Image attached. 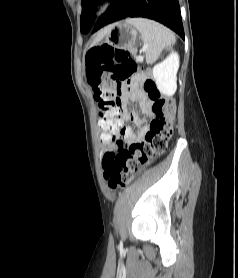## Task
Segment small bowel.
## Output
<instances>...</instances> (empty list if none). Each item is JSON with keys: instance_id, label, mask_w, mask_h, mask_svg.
<instances>
[{"instance_id": "c3829d8e", "label": "small bowel", "mask_w": 238, "mask_h": 278, "mask_svg": "<svg viewBox=\"0 0 238 278\" xmlns=\"http://www.w3.org/2000/svg\"><path fill=\"white\" fill-rule=\"evenodd\" d=\"M129 101L137 102L143 114L147 116L153 115L152 102L142 87V81L136 78L124 84L120 128L114 135H102V140L109 143L108 149H112L116 144L140 143L148 131V126H144L139 135H136L131 127L122 125L124 121H131L138 126L143 124V119L137 112L126 108Z\"/></svg>"}]
</instances>
